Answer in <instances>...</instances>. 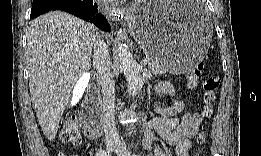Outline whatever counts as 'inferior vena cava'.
Returning a JSON list of instances; mask_svg holds the SVG:
<instances>
[{
    "instance_id": "1",
    "label": "inferior vena cava",
    "mask_w": 261,
    "mask_h": 156,
    "mask_svg": "<svg viewBox=\"0 0 261 156\" xmlns=\"http://www.w3.org/2000/svg\"><path fill=\"white\" fill-rule=\"evenodd\" d=\"M93 65L97 70L103 93V128L107 145L120 143L115 127V83L111 74L109 50L103 40L94 42Z\"/></svg>"
}]
</instances>
